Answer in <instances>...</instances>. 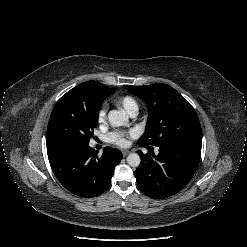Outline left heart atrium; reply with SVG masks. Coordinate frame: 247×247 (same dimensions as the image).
<instances>
[{
  "label": "left heart atrium",
  "mask_w": 247,
  "mask_h": 247,
  "mask_svg": "<svg viewBox=\"0 0 247 247\" xmlns=\"http://www.w3.org/2000/svg\"><path fill=\"white\" fill-rule=\"evenodd\" d=\"M132 133L116 131L109 134L108 139L110 142L119 145V146H126L128 144V138L131 136Z\"/></svg>",
  "instance_id": "1"
}]
</instances>
